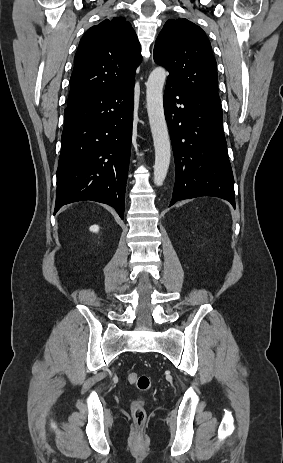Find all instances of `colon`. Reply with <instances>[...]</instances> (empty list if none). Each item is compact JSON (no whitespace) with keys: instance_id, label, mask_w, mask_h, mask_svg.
<instances>
[{"instance_id":"obj_1","label":"colon","mask_w":283,"mask_h":463,"mask_svg":"<svg viewBox=\"0 0 283 463\" xmlns=\"http://www.w3.org/2000/svg\"><path fill=\"white\" fill-rule=\"evenodd\" d=\"M127 379L130 384L134 385L142 393H147L151 389L152 382L147 375L129 373ZM145 403V396L140 395L131 402L130 406L132 418L139 432L146 421Z\"/></svg>"}]
</instances>
